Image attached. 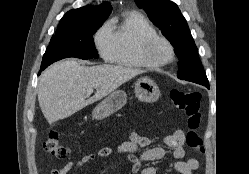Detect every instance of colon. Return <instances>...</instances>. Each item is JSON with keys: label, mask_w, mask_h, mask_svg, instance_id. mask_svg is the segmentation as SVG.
Here are the masks:
<instances>
[{"label": "colon", "mask_w": 249, "mask_h": 174, "mask_svg": "<svg viewBox=\"0 0 249 174\" xmlns=\"http://www.w3.org/2000/svg\"><path fill=\"white\" fill-rule=\"evenodd\" d=\"M169 96L173 106L184 111L187 116V145L200 153H204L203 139L199 133L201 126L200 94L174 88L170 90ZM44 149L48 154L59 158L65 157L69 153L67 147L62 145L58 132L49 134L44 142Z\"/></svg>", "instance_id": "5ec220e1"}]
</instances>
